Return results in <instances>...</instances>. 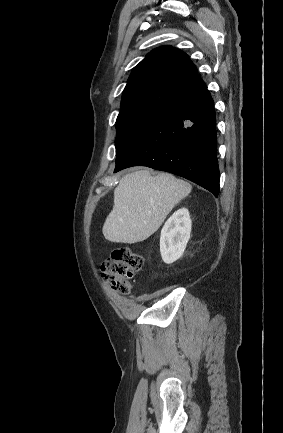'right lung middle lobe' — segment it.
<instances>
[{
    "instance_id": "dd1d6c3e",
    "label": "right lung middle lobe",
    "mask_w": 283,
    "mask_h": 433,
    "mask_svg": "<svg viewBox=\"0 0 283 433\" xmlns=\"http://www.w3.org/2000/svg\"><path fill=\"white\" fill-rule=\"evenodd\" d=\"M161 112L145 108L121 109L116 121V156L129 144V142Z\"/></svg>"
}]
</instances>
